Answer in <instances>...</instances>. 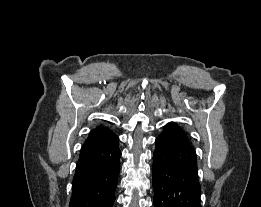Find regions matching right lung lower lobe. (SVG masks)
<instances>
[{"label": "right lung lower lobe", "instance_id": "98d812e1", "mask_svg": "<svg viewBox=\"0 0 261 207\" xmlns=\"http://www.w3.org/2000/svg\"><path fill=\"white\" fill-rule=\"evenodd\" d=\"M118 136L80 151L70 207H113L120 171Z\"/></svg>", "mask_w": 261, "mask_h": 207}]
</instances>
